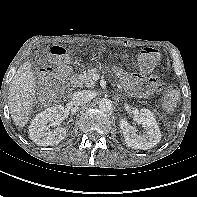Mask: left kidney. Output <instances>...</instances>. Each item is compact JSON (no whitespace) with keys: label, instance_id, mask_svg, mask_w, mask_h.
<instances>
[{"label":"left kidney","instance_id":"5707ae66","mask_svg":"<svg viewBox=\"0 0 197 197\" xmlns=\"http://www.w3.org/2000/svg\"><path fill=\"white\" fill-rule=\"evenodd\" d=\"M135 121L142 125L145 132L138 134L135 127L131 126L124 118L120 120V128L123 131L126 144L133 149L147 150L157 145L161 140V132L149 109H141L135 115Z\"/></svg>","mask_w":197,"mask_h":197}]
</instances>
